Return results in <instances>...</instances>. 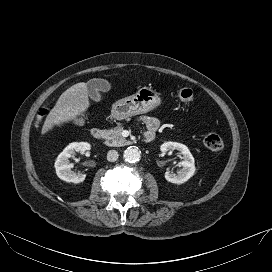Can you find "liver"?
<instances>
[{
	"mask_svg": "<svg viewBox=\"0 0 272 272\" xmlns=\"http://www.w3.org/2000/svg\"><path fill=\"white\" fill-rule=\"evenodd\" d=\"M89 106L87 83L80 82L71 86L61 94L55 106L47 115L41 134H46L55 126L61 127L65 123L76 120L79 115L87 111Z\"/></svg>",
	"mask_w": 272,
	"mask_h": 272,
	"instance_id": "6515ba94",
	"label": "liver"
}]
</instances>
